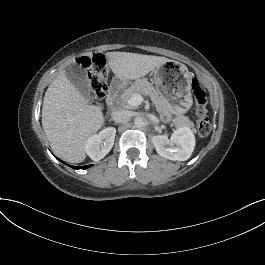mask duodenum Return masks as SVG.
I'll return each instance as SVG.
<instances>
[{
    "label": "duodenum",
    "instance_id": "duodenum-1",
    "mask_svg": "<svg viewBox=\"0 0 265 265\" xmlns=\"http://www.w3.org/2000/svg\"><path fill=\"white\" fill-rule=\"evenodd\" d=\"M124 85V81L122 79L114 80L109 86L108 96H107V104L110 109L114 108L115 101Z\"/></svg>",
    "mask_w": 265,
    "mask_h": 265
}]
</instances>
